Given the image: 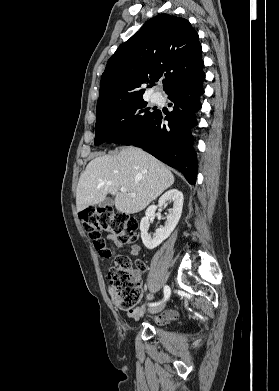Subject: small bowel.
Masks as SVG:
<instances>
[{
    "mask_svg": "<svg viewBox=\"0 0 279 391\" xmlns=\"http://www.w3.org/2000/svg\"><path fill=\"white\" fill-rule=\"evenodd\" d=\"M108 239H112V237L109 235L107 237ZM117 246H121V243L115 242ZM140 251V247L138 245H131L129 247V253L131 256L138 255ZM153 296L151 294L148 295L147 299L152 300ZM145 312V306H137L133 308L132 310L128 311V316L134 320H138L144 315ZM178 316V313L174 309H168L164 311L161 315L156 317V321L160 324H165L167 322H170L174 320Z\"/></svg>",
    "mask_w": 279,
    "mask_h": 391,
    "instance_id": "1",
    "label": "small bowel"
}]
</instances>
